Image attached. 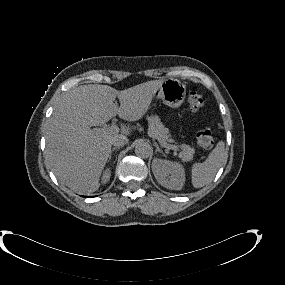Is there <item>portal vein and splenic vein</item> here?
<instances>
[{
	"mask_svg": "<svg viewBox=\"0 0 285 285\" xmlns=\"http://www.w3.org/2000/svg\"><path fill=\"white\" fill-rule=\"evenodd\" d=\"M100 130H102L104 132H110V133H118L119 132V128L116 125H112L110 127L104 126ZM159 143H160L161 146H163V147H165L167 149H171V150H175V151L177 150L176 146L168 144L167 142L159 141Z\"/></svg>",
	"mask_w": 285,
	"mask_h": 285,
	"instance_id": "portal-vein-and-splenic-vein-1",
	"label": "portal vein and splenic vein"
}]
</instances>
